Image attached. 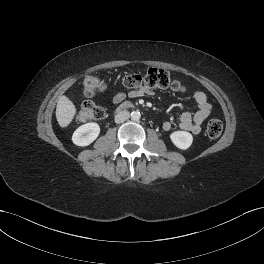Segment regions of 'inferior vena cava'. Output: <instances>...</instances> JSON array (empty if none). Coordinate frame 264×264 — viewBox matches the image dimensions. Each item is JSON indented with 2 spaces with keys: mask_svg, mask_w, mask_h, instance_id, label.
Masks as SVG:
<instances>
[{
  "mask_svg": "<svg viewBox=\"0 0 264 264\" xmlns=\"http://www.w3.org/2000/svg\"><path fill=\"white\" fill-rule=\"evenodd\" d=\"M129 117H130L129 111H126V110L120 111L115 116V123L117 124L122 123L126 121L127 119H129Z\"/></svg>",
  "mask_w": 264,
  "mask_h": 264,
  "instance_id": "602c4592",
  "label": "inferior vena cava"
}]
</instances>
